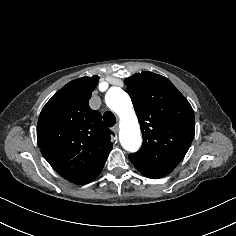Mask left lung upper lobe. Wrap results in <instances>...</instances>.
<instances>
[{
  "label": "left lung upper lobe",
  "instance_id": "1",
  "mask_svg": "<svg viewBox=\"0 0 236 236\" xmlns=\"http://www.w3.org/2000/svg\"><path fill=\"white\" fill-rule=\"evenodd\" d=\"M141 126L143 145L128 157L132 163L174 169L187 153L195 133L194 112L166 77L152 72L125 80Z\"/></svg>",
  "mask_w": 236,
  "mask_h": 236
}]
</instances>
